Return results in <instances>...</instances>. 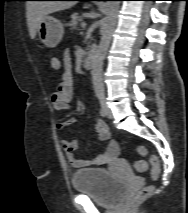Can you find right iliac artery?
<instances>
[{
    "label": "right iliac artery",
    "mask_w": 188,
    "mask_h": 213,
    "mask_svg": "<svg viewBox=\"0 0 188 213\" xmlns=\"http://www.w3.org/2000/svg\"><path fill=\"white\" fill-rule=\"evenodd\" d=\"M101 109H100V115L102 117H105L107 115V105L104 99L100 100Z\"/></svg>",
    "instance_id": "82829eb1"
}]
</instances>
